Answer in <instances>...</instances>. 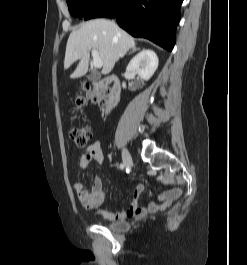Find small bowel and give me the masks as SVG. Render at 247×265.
<instances>
[{
    "label": "small bowel",
    "instance_id": "c3829d8e",
    "mask_svg": "<svg viewBox=\"0 0 247 265\" xmlns=\"http://www.w3.org/2000/svg\"><path fill=\"white\" fill-rule=\"evenodd\" d=\"M91 161L99 164H102L104 161V154L100 141L93 142L87 147L86 152L81 156L80 168L86 169ZM143 190V185L137 183L133 191L132 202L126 210L108 211L100 208L103 203L104 193L101 178L96 177L94 179L90 190H87L80 182L74 184V191L83 207L94 211L108 221H118L132 217L140 218L147 214L158 212L169 206L181 194L180 189L168 190L161 193L155 200L150 201L146 206L141 207L138 202Z\"/></svg>",
    "mask_w": 247,
    "mask_h": 265
}]
</instances>
